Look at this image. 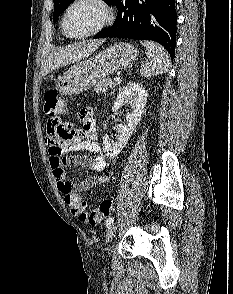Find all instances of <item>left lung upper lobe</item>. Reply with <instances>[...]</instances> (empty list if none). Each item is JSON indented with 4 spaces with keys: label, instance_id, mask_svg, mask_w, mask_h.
<instances>
[{
    "label": "left lung upper lobe",
    "instance_id": "1",
    "mask_svg": "<svg viewBox=\"0 0 233 294\" xmlns=\"http://www.w3.org/2000/svg\"><path fill=\"white\" fill-rule=\"evenodd\" d=\"M54 1V14L53 21L56 22L59 15L74 1V0H53ZM107 3L117 5L119 0H104Z\"/></svg>",
    "mask_w": 233,
    "mask_h": 294
}]
</instances>
